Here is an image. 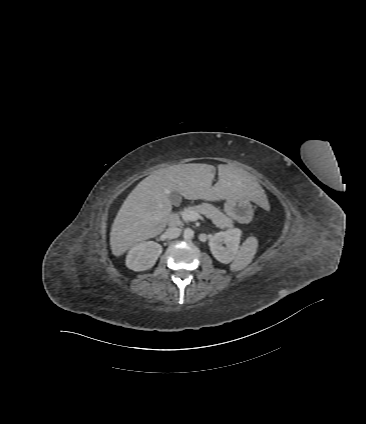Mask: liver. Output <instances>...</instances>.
Listing matches in <instances>:
<instances>
[{
    "instance_id": "1",
    "label": "liver",
    "mask_w": 366,
    "mask_h": 424,
    "mask_svg": "<svg viewBox=\"0 0 366 424\" xmlns=\"http://www.w3.org/2000/svg\"><path fill=\"white\" fill-rule=\"evenodd\" d=\"M214 176V166L190 163L157 170L143 179L128 195L112 224V254L121 256L164 231L171 215L172 191L188 200L207 201L247 198L259 202L264 194L254 176L233 165H218L219 180L212 186Z\"/></svg>"
}]
</instances>
